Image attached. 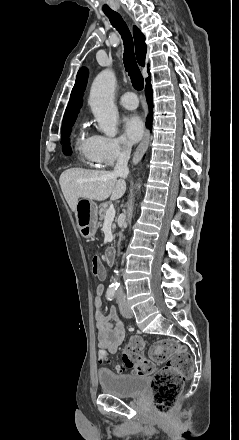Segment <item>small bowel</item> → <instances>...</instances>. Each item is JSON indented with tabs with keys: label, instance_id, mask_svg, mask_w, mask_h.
<instances>
[{
	"label": "small bowel",
	"instance_id": "c3829d8e",
	"mask_svg": "<svg viewBox=\"0 0 239 440\" xmlns=\"http://www.w3.org/2000/svg\"><path fill=\"white\" fill-rule=\"evenodd\" d=\"M103 291L104 286L97 285L94 296L97 342L101 352L114 354L125 338V326L115 308H111L108 315L103 314L101 310ZM99 360L101 363H107L100 355Z\"/></svg>",
	"mask_w": 239,
	"mask_h": 440
}]
</instances>
